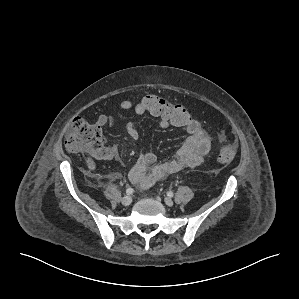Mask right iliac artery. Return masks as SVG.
<instances>
[{
	"label": "right iliac artery",
	"instance_id": "right-iliac-artery-1",
	"mask_svg": "<svg viewBox=\"0 0 299 299\" xmlns=\"http://www.w3.org/2000/svg\"><path fill=\"white\" fill-rule=\"evenodd\" d=\"M133 192H134V189L131 188V187L126 189V193H127L128 195L132 194Z\"/></svg>",
	"mask_w": 299,
	"mask_h": 299
}]
</instances>
